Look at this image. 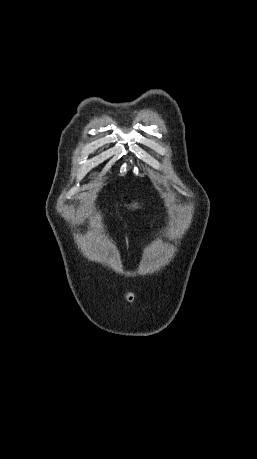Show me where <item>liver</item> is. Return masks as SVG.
<instances>
[{
	"instance_id": "liver-1",
	"label": "liver",
	"mask_w": 257,
	"mask_h": 459,
	"mask_svg": "<svg viewBox=\"0 0 257 459\" xmlns=\"http://www.w3.org/2000/svg\"><path fill=\"white\" fill-rule=\"evenodd\" d=\"M133 208H137V204L136 203L133 205ZM101 219H102V217L100 215V212H96V213H94V215L90 216L89 225L91 227H100Z\"/></svg>"
}]
</instances>
